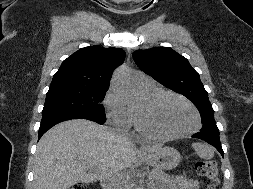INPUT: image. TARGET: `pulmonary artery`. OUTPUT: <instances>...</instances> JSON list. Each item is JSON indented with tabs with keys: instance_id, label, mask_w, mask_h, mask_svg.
Listing matches in <instances>:
<instances>
[{
	"instance_id": "e3ab8cb5",
	"label": "pulmonary artery",
	"mask_w": 253,
	"mask_h": 189,
	"mask_svg": "<svg viewBox=\"0 0 253 189\" xmlns=\"http://www.w3.org/2000/svg\"><path fill=\"white\" fill-rule=\"evenodd\" d=\"M137 84L141 87H151L154 85L153 81L147 77L140 78Z\"/></svg>"
}]
</instances>
